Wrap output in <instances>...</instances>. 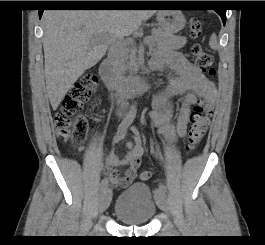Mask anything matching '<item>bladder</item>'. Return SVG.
<instances>
[{
  "mask_svg": "<svg viewBox=\"0 0 265 245\" xmlns=\"http://www.w3.org/2000/svg\"><path fill=\"white\" fill-rule=\"evenodd\" d=\"M157 201L145 184H131L117 197L114 215L125 225H143L155 214Z\"/></svg>",
  "mask_w": 265,
  "mask_h": 245,
  "instance_id": "1",
  "label": "bladder"
}]
</instances>
